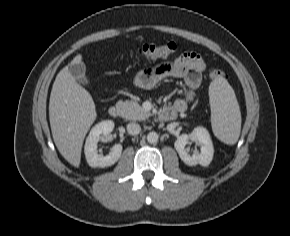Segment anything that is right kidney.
<instances>
[{
  "label": "right kidney",
  "mask_w": 290,
  "mask_h": 236,
  "mask_svg": "<svg viewBox=\"0 0 290 236\" xmlns=\"http://www.w3.org/2000/svg\"><path fill=\"white\" fill-rule=\"evenodd\" d=\"M114 129V122L111 120H105L96 124L90 131L89 136L86 139L84 153L86 161L91 167H109L115 164L122 153V145L116 144L112 147L111 152L103 156L98 154L97 143L105 136H108Z\"/></svg>",
  "instance_id": "obj_1"
}]
</instances>
